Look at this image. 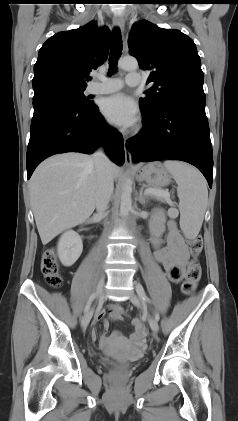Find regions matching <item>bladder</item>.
<instances>
[{
    "instance_id": "bladder-1",
    "label": "bladder",
    "mask_w": 238,
    "mask_h": 421,
    "mask_svg": "<svg viewBox=\"0 0 238 421\" xmlns=\"http://www.w3.org/2000/svg\"><path fill=\"white\" fill-rule=\"evenodd\" d=\"M106 364L110 366L118 365L116 362H113V361H108L106 362Z\"/></svg>"
}]
</instances>
